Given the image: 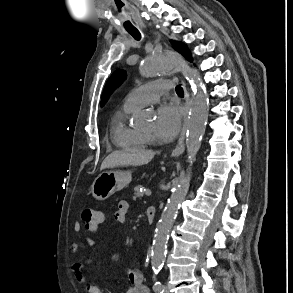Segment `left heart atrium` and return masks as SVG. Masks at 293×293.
<instances>
[{"instance_id": "39dd6f15", "label": "left heart atrium", "mask_w": 293, "mask_h": 293, "mask_svg": "<svg viewBox=\"0 0 293 293\" xmlns=\"http://www.w3.org/2000/svg\"><path fill=\"white\" fill-rule=\"evenodd\" d=\"M183 109L176 103L160 106L157 110L155 133L162 138H173L179 131Z\"/></svg>"}]
</instances>
